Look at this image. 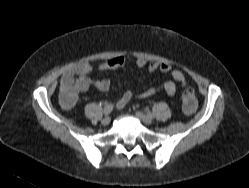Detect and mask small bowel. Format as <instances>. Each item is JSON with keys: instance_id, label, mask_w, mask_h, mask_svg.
<instances>
[{"instance_id": "1", "label": "small bowel", "mask_w": 249, "mask_h": 188, "mask_svg": "<svg viewBox=\"0 0 249 188\" xmlns=\"http://www.w3.org/2000/svg\"><path fill=\"white\" fill-rule=\"evenodd\" d=\"M125 64V59L122 56H117L112 59L106 60L99 65L101 71L107 70H121ZM138 67L146 65V60L138 58L136 60ZM148 70L150 72L160 71L168 74L172 79L180 84L181 87H185L187 82L185 75L182 71L174 69L170 64L152 61L148 64ZM91 71V65L87 62H82L77 66L71 68L61 78V104L65 109H71L77 102L80 92L87 90L90 86H94L101 92H106L110 88V81L107 79H100L93 82L88 74ZM159 90H164L169 96H174L177 87L173 81H166L158 88H149L138 93V96L147 98L156 94ZM65 94H71V103L64 99ZM134 95L133 90H127L117 100L116 107L118 109L124 108Z\"/></svg>"}]
</instances>
